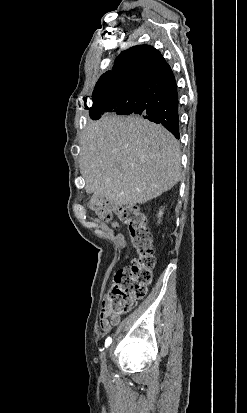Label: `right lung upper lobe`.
<instances>
[{
    "label": "right lung upper lobe",
    "instance_id": "right-lung-upper-lobe-1",
    "mask_svg": "<svg viewBox=\"0 0 247 413\" xmlns=\"http://www.w3.org/2000/svg\"><path fill=\"white\" fill-rule=\"evenodd\" d=\"M167 66L158 50L149 45H138L121 52L112 71L105 72L98 81L126 82L135 72H155Z\"/></svg>",
    "mask_w": 247,
    "mask_h": 413
}]
</instances>
